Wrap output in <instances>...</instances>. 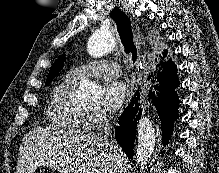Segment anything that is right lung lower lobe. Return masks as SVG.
<instances>
[{"label": "right lung lower lobe", "instance_id": "right-lung-lower-lobe-1", "mask_svg": "<svg viewBox=\"0 0 219 173\" xmlns=\"http://www.w3.org/2000/svg\"><path fill=\"white\" fill-rule=\"evenodd\" d=\"M156 69L157 71L151 76L158 84L154 85L155 91H150L149 97L152 99L161 121L162 141L165 146L171 138L174 121L178 118L179 98L175 88L178 87L179 80L176 73L177 67L171 59L161 63V67ZM138 98L137 94L123 111L115 130L116 140L129 158L133 157L137 120L142 113Z\"/></svg>", "mask_w": 219, "mask_h": 173}]
</instances>
